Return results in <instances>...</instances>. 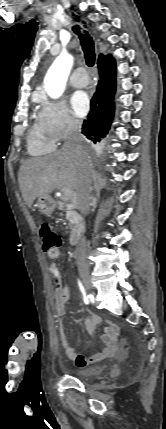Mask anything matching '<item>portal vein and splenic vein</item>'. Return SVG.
<instances>
[{
	"label": "portal vein and splenic vein",
	"mask_w": 166,
	"mask_h": 429,
	"mask_svg": "<svg viewBox=\"0 0 166 429\" xmlns=\"http://www.w3.org/2000/svg\"><path fill=\"white\" fill-rule=\"evenodd\" d=\"M62 192L65 200H68L73 197V192L69 188L62 189Z\"/></svg>",
	"instance_id": "18ae733b"
}]
</instances>
